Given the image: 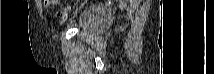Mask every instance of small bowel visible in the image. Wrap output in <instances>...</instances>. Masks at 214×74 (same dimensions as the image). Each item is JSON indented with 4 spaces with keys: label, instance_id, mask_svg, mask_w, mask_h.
<instances>
[{
    "label": "small bowel",
    "instance_id": "small-bowel-1",
    "mask_svg": "<svg viewBox=\"0 0 214 74\" xmlns=\"http://www.w3.org/2000/svg\"><path fill=\"white\" fill-rule=\"evenodd\" d=\"M56 2H52V1H43V5L45 8H49L52 6V4H55ZM68 12H69V8H65L63 10L57 11L55 12V16L60 18V23L65 21L68 17Z\"/></svg>",
    "mask_w": 214,
    "mask_h": 74
}]
</instances>
